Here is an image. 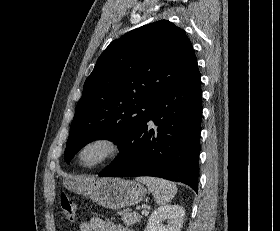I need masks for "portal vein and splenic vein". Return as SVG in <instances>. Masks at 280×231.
<instances>
[{"instance_id":"18ae733b","label":"portal vein and splenic vein","mask_w":280,"mask_h":231,"mask_svg":"<svg viewBox=\"0 0 280 231\" xmlns=\"http://www.w3.org/2000/svg\"><path fill=\"white\" fill-rule=\"evenodd\" d=\"M141 213L142 215H148L149 211H147V209H142Z\"/></svg>"}]
</instances>
